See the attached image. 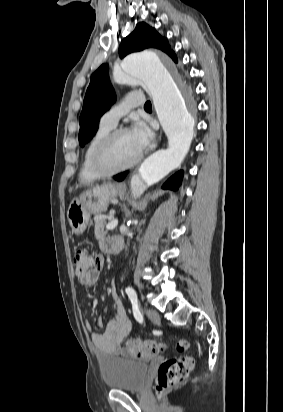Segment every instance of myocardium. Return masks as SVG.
Segmentation results:
<instances>
[{"mask_svg": "<svg viewBox=\"0 0 283 412\" xmlns=\"http://www.w3.org/2000/svg\"><path fill=\"white\" fill-rule=\"evenodd\" d=\"M125 132H128L127 128H115L111 130L107 135H105L104 138L96 146L92 155V166L99 176L106 177L125 171L135 166L141 160L142 153L140 152L134 160L125 165L113 167L107 163V156L114 140L120 134Z\"/></svg>", "mask_w": 283, "mask_h": 412, "instance_id": "1", "label": "myocardium"}]
</instances>
